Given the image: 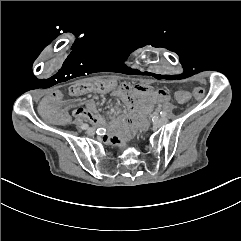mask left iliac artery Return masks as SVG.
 <instances>
[{"label": "left iliac artery", "instance_id": "left-iliac-artery-1", "mask_svg": "<svg viewBox=\"0 0 241 241\" xmlns=\"http://www.w3.org/2000/svg\"><path fill=\"white\" fill-rule=\"evenodd\" d=\"M160 115H161L162 117H165V116L167 115V113H166L165 111H161V112H160Z\"/></svg>", "mask_w": 241, "mask_h": 241}]
</instances>
